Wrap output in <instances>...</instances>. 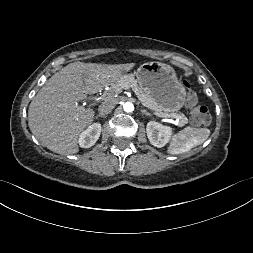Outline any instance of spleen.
<instances>
[{"instance_id": "1", "label": "spleen", "mask_w": 253, "mask_h": 253, "mask_svg": "<svg viewBox=\"0 0 253 253\" xmlns=\"http://www.w3.org/2000/svg\"><path fill=\"white\" fill-rule=\"evenodd\" d=\"M210 135L207 128L186 127L175 134L168 147V153L181 154L190 151L192 148L204 143Z\"/></svg>"}]
</instances>
